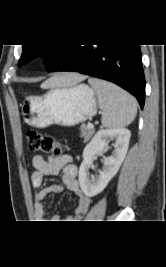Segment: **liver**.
<instances>
[{
    "label": "liver",
    "instance_id": "6515ba94",
    "mask_svg": "<svg viewBox=\"0 0 166 267\" xmlns=\"http://www.w3.org/2000/svg\"><path fill=\"white\" fill-rule=\"evenodd\" d=\"M86 76L78 73H65L46 80L41 87L44 89L53 87L73 86L85 80Z\"/></svg>",
    "mask_w": 166,
    "mask_h": 267
}]
</instances>
